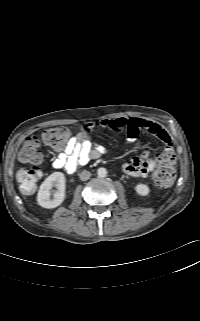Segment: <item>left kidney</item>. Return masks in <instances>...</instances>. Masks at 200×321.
Returning <instances> with one entry per match:
<instances>
[{
  "label": "left kidney",
  "instance_id": "5707ae66",
  "mask_svg": "<svg viewBox=\"0 0 200 321\" xmlns=\"http://www.w3.org/2000/svg\"><path fill=\"white\" fill-rule=\"evenodd\" d=\"M135 190L141 196H147L150 192V189L146 184H137Z\"/></svg>",
  "mask_w": 200,
  "mask_h": 321
}]
</instances>
